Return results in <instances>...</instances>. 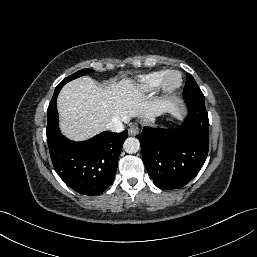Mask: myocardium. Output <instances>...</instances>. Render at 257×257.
Listing matches in <instances>:
<instances>
[{
	"label": "myocardium",
	"instance_id": "myocardium-1",
	"mask_svg": "<svg viewBox=\"0 0 257 257\" xmlns=\"http://www.w3.org/2000/svg\"><path fill=\"white\" fill-rule=\"evenodd\" d=\"M174 77L177 78V81L175 83L172 82V78ZM182 82L183 78L180 72L169 71L163 78V81L160 85L161 91L166 95L173 94L180 89V87L182 86Z\"/></svg>",
	"mask_w": 257,
	"mask_h": 257
}]
</instances>
